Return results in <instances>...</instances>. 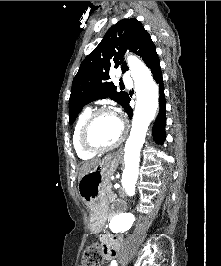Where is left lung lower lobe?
<instances>
[{"label":"left lung lower lobe","mask_w":221,"mask_h":266,"mask_svg":"<svg viewBox=\"0 0 221 266\" xmlns=\"http://www.w3.org/2000/svg\"><path fill=\"white\" fill-rule=\"evenodd\" d=\"M151 73H152L154 80L159 85V94H160L159 95L160 111L153 125L152 132H153L154 140L159 144H163V141L165 140L166 103H165L164 84H163L162 72H161V67H160V61H158L151 68ZM129 102H130V98H128L124 109L126 113L128 114L129 118L131 119L133 110L131 109Z\"/></svg>","instance_id":"obj_1"}]
</instances>
